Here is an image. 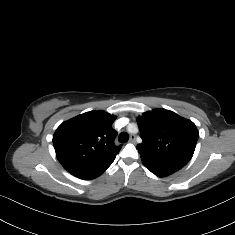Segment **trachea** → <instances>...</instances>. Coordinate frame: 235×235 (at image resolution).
Returning <instances> with one entry per match:
<instances>
[{"mask_svg": "<svg viewBox=\"0 0 235 235\" xmlns=\"http://www.w3.org/2000/svg\"><path fill=\"white\" fill-rule=\"evenodd\" d=\"M129 139V135L126 133V132H122L120 133L119 137H118V140L121 142V143H126Z\"/></svg>", "mask_w": 235, "mask_h": 235, "instance_id": "trachea-1", "label": "trachea"}]
</instances>
